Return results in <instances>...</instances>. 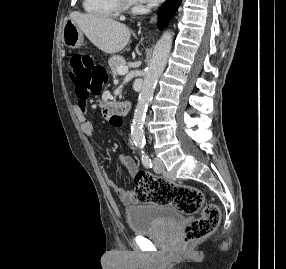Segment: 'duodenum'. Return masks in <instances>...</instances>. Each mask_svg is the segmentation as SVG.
<instances>
[{
	"label": "duodenum",
	"instance_id": "obj_1",
	"mask_svg": "<svg viewBox=\"0 0 286 269\" xmlns=\"http://www.w3.org/2000/svg\"><path fill=\"white\" fill-rule=\"evenodd\" d=\"M107 108H109L111 111L115 110L120 114H126L130 109V104L128 102H121L117 104H110L107 106Z\"/></svg>",
	"mask_w": 286,
	"mask_h": 269
}]
</instances>
